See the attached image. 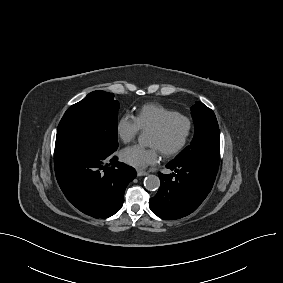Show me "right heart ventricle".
<instances>
[{
  "instance_id": "obj_1",
  "label": "right heart ventricle",
  "mask_w": 283,
  "mask_h": 283,
  "mask_svg": "<svg viewBox=\"0 0 283 283\" xmlns=\"http://www.w3.org/2000/svg\"><path fill=\"white\" fill-rule=\"evenodd\" d=\"M178 113L158 103H148L140 107L135 118L141 130H152L167 117Z\"/></svg>"
}]
</instances>
